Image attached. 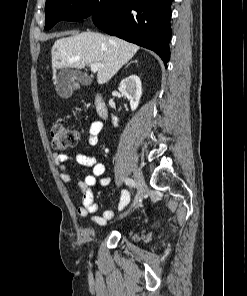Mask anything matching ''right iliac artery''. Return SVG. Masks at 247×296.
Instances as JSON below:
<instances>
[{
  "label": "right iliac artery",
  "instance_id": "82829eb1",
  "mask_svg": "<svg viewBox=\"0 0 247 296\" xmlns=\"http://www.w3.org/2000/svg\"><path fill=\"white\" fill-rule=\"evenodd\" d=\"M125 183H126V185H128V186H130V187H134V186H135V182H134V180L131 179V178H126V179H125Z\"/></svg>",
  "mask_w": 247,
  "mask_h": 296
}]
</instances>
